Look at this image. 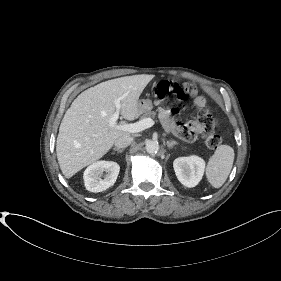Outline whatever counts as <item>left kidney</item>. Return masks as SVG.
<instances>
[{"mask_svg":"<svg viewBox=\"0 0 281 281\" xmlns=\"http://www.w3.org/2000/svg\"><path fill=\"white\" fill-rule=\"evenodd\" d=\"M175 174L186 187H195L203 177L205 161L195 155L176 158L173 162Z\"/></svg>","mask_w":281,"mask_h":281,"instance_id":"5707ae66","label":"left kidney"}]
</instances>
